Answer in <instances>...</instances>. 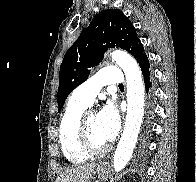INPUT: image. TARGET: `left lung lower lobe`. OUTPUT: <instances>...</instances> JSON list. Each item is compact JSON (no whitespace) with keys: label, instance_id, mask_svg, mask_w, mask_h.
Returning a JSON list of instances; mask_svg holds the SVG:
<instances>
[{"label":"left lung lower lobe","instance_id":"obj_1","mask_svg":"<svg viewBox=\"0 0 196 182\" xmlns=\"http://www.w3.org/2000/svg\"><path fill=\"white\" fill-rule=\"evenodd\" d=\"M138 63L141 68L142 74L144 76V81L146 84V92H148L149 89L151 88V82H150V70H149L150 66H149V61L147 56L146 55L143 56Z\"/></svg>","mask_w":196,"mask_h":182}]
</instances>
